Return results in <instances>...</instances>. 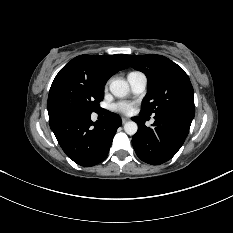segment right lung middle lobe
Returning a JSON list of instances; mask_svg holds the SVG:
<instances>
[{
    "mask_svg": "<svg viewBox=\"0 0 233 233\" xmlns=\"http://www.w3.org/2000/svg\"><path fill=\"white\" fill-rule=\"evenodd\" d=\"M104 86L84 77L57 75L51 85L47 109H75L86 113L97 112L103 100Z\"/></svg>",
    "mask_w": 233,
    "mask_h": 233,
    "instance_id": "right-lung-middle-lobe-1",
    "label": "right lung middle lobe"
}]
</instances>
